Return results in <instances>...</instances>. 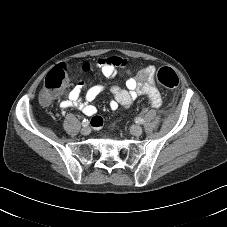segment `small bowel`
Listing matches in <instances>:
<instances>
[{
	"label": "small bowel",
	"instance_id": "c3829d8e",
	"mask_svg": "<svg viewBox=\"0 0 227 227\" xmlns=\"http://www.w3.org/2000/svg\"><path fill=\"white\" fill-rule=\"evenodd\" d=\"M97 67L105 78H111L117 74L119 69L125 70L127 75L131 71L128 64L115 56L101 57L97 60ZM155 67L148 66L138 72L136 76H129L125 81V89L118 85H111L110 92L113 99L110 102L111 109L128 108L132 101L141 95H145L151 105L158 108L161 104V97L154 83ZM104 91L102 85L87 87L85 82H78L72 89L62 92L61 108H77L86 116H94L97 113L93 105L94 100Z\"/></svg>",
	"mask_w": 227,
	"mask_h": 227
}]
</instances>
